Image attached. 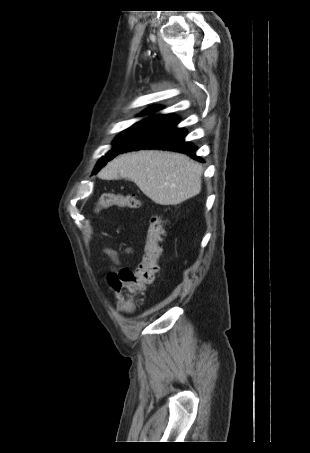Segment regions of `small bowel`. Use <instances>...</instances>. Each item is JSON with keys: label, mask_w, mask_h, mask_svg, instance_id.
Wrapping results in <instances>:
<instances>
[{"label": "small bowel", "mask_w": 310, "mask_h": 453, "mask_svg": "<svg viewBox=\"0 0 310 453\" xmlns=\"http://www.w3.org/2000/svg\"><path fill=\"white\" fill-rule=\"evenodd\" d=\"M104 252H105V253H106L113 261H115V262H118V261H119V253H118L116 250H114V249H112V248H110V247H105V248H104ZM124 252H125V253H131L132 250H131L130 248H125V249H124Z\"/></svg>", "instance_id": "1"}]
</instances>
